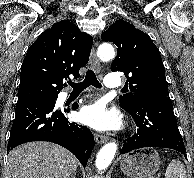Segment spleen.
<instances>
[{
  "label": "spleen",
  "mask_w": 194,
  "mask_h": 178,
  "mask_svg": "<svg viewBox=\"0 0 194 178\" xmlns=\"http://www.w3.org/2000/svg\"><path fill=\"white\" fill-rule=\"evenodd\" d=\"M166 178H187L185 166L179 160L173 159L167 167Z\"/></svg>",
  "instance_id": "obj_1"
}]
</instances>
